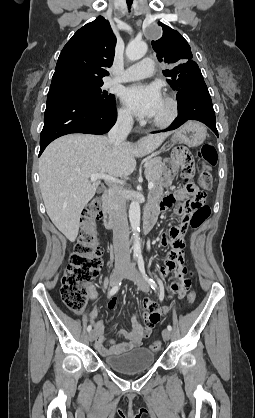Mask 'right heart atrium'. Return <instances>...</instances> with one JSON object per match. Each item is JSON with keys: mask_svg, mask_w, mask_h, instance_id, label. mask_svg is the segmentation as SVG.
Listing matches in <instances>:
<instances>
[{"mask_svg": "<svg viewBox=\"0 0 255 418\" xmlns=\"http://www.w3.org/2000/svg\"><path fill=\"white\" fill-rule=\"evenodd\" d=\"M118 120L123 124H129L132 121L131 113L125 107H121L118 110Z\"/></svg>", "mask_w": 255, "mask_h": 418, "instance_id": "1", "label": "right heart atrium"}]
</instances>
